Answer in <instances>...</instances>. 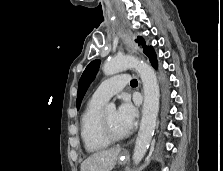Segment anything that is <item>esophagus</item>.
Returning a JSON list of instances; mask_svg holds the SVG:
<instances>
[{
    "mask_svg": "<svg viewBox=\"0 0 223 171\" xmlns=\"http://www.w3.org/2000/svg\"><path fill=\"white\" fill-rule=\"evenodd\" d=\"M116 25L118 26V27H117V30H118V31H121V30H122V27L120 26V25H121V22H120V21H117V22H116ZM122 38H123V39H126V38H127V35H126V34H123V35H122Z\"/></svg>",
    "mask_w": 223,
    "mask_h": 171,
    "instance_id": "34e87169",
    "label": "esophagus"
}]
</instances>
